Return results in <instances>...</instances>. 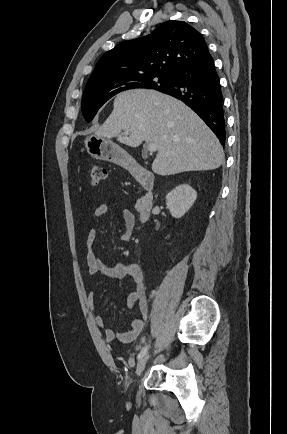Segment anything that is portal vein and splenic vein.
Returning a JSON list of instances; mask_svg holds the SVG:
<instances>
[{
    "label": "portal vein and splenic vein",
    "instance_id": "1",
    "mask_svg": "<svg viewBox=\"0 0 287 434\" xmlns=\"http://www.w3.org/2000/svg\"><path fill=\"white\" fill-rule=\"evenodd\" d=\"M125 134H128V133L125 132ZM147 150H148L150 153H153V152H155V151L157 150V145L154 144V143H148V144H147Z\"/></svg>",
    "mask_w": 287,
    "mask_h": 434
}]
</instances>
